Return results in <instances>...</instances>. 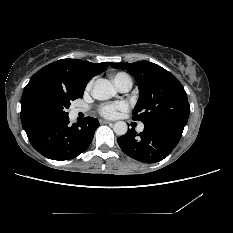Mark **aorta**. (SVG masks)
<instances>
[{"label":"aorta","instance_id":"obj_1","mask_svg":"<svg viewBox=\"0 0 233 233\" xmlns=\"http://www.w3.org/2000/svg\"><path fill=\"white\" fill-rule=\"evenodd\" d=\"M115 94V88L106 79L98 80L91 91L92 97L97 100H108L114 97ZM113 130L117 135L122 136L127 133L128 126L124 121H118L114 124Z\"/></svg>","mask_w":233,"mask_h":233}]
</instances>
